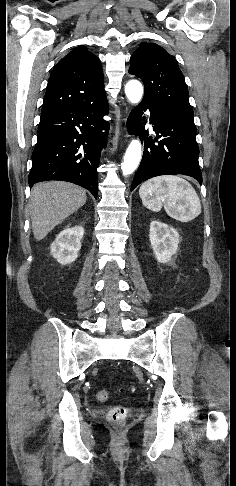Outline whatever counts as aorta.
Returning a JSON list of instances; mask_svg holds the SVG:
<instances>
[{"instance_id":"obj_1","label":"aorta","mask_w":236,"mask_h":486,"mask_svg":"<svg viewBox=\"0 0 236 486\" xmlns=\"http://www.w3.org/2000/svg\"><path fill=\"white\" fill-rule=\"evenodd\" d=\"M125 94L131 103H139L143 95L142 84L137 80H130L125 86ZM141 155L142 150L139 140H132L121 164L124 176L130 175L136 170L140 163Z\"/></svg>"}]
</instances>
